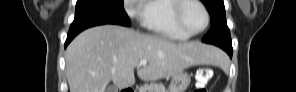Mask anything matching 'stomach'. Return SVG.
I'll list each match as a JSON object with an SVG mask.
<instances>
[{
  "label": "stomach",
  "instance_id": "1",
  "mask_svg": "<svg viewBox=\"0 0 296 92\" xmlns=\"http://www.w3.org/2000/svg\"><path fill=\"white\" fill-rule=\"evenodd\" d=\"M190 82V76L182 71L173 76L167 92H185Z\"/></svg>",
  "mask_w": 296,
  "mask_h": 92
}]
</instances>
